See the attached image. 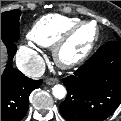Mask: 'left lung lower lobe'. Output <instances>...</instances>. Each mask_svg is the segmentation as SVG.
I'll use <instances>...</instances> for the list:
<instances>
[{
	"instance_id": "left-lung-lower-lobe-1",
	"label": "left lung lower lobe",
	"mask_w": 121,
	"mask_h": 121,
	"mask_svg": "<svg viewBox=\"0 0 121 121\" xmlns=\"http://www.w3.org/2000/svg\"><path fill=\"white\" fill-rule=\"evenodd\" d=\"M60 104L67 121H103L121 103V41L101 46L75 73L62 80Z\"/></svg>"
}]
</instances>
